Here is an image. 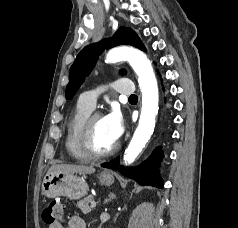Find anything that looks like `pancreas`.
Here are the masks:
<instances>
[{
  "mask_svg": "<svg viewBox=\"0 0 238 228\" xmlns=\"http://www.w3.org/2000/svg\"><path fill=\"white\" fill-rule=\"evenodd\" d=\"M94 198L92 195H89L87 197H85L84 199L78 201V207L82 210V212L84 214H88L91 211V208L89 206V203H91V201H93Z\"/></svg>",
  "mask_w": 238,
  "mask_h": 228,
  "instance_id": "obj_1",
  "label": "pancreas"
}]
</instances>
